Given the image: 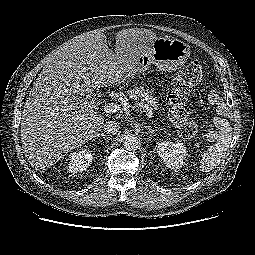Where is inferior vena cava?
Returning <instances> with one entry per match:
<instances>
[{"mask_svg":"<svg viewBox=\"0 0 255 255\" xmlns=\"http://www.w3.org/2000/svg\"><path fill=\"white\" fill-rule=\"evenodd\" d=\"M120 128L119 123L115 121H108L104 124V132L108 134H116Z\"/></svg>","mask_w":255,"mask_h":255,"instance_id":"1","label":"inferior vena cava"}]
</instances>
